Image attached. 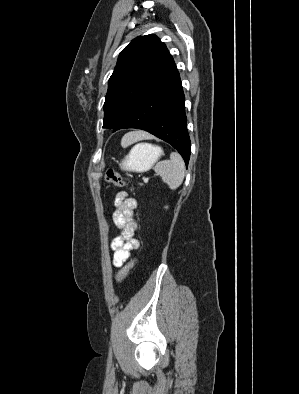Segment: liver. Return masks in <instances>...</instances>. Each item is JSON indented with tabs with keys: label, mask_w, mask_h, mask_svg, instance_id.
<instances>
[{
	"label": "liver",
	"mask_w": 299,
	"mask_h": 394,
	"mask_svg": "<svg viewBox=\"0 0 299 394\" xmlns=\"http://www.w3.org/2000/svg\"><path fill=\"white\" fill-rule=\"evenodd\" d=\"M147 137H149V134H147L146 132H143V131L129 133V134H127V140H128L127 145H129L139 139L147 138ZM127 145H125V146H127Z\"/></svg>",
	"instance_id": "liver-1"
}]
</instances>
